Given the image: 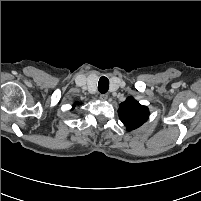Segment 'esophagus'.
Instances as JSON below:
<instances>
[{
  "instance_id": "1",
  "label": "esophagus",
  "mask_w": 201,
  "mask_h": 201,
  "mask_svg": "<svg viewBox=\"0 0 201 201\" xmlns=\"http://www.w3.org/2000/svg\"><path fill=\"white\" fill-rule=\"evenodd\" d=\"M99 98L103 101L108 99V94H100Z\"/></svg>"
}]
</instances>
